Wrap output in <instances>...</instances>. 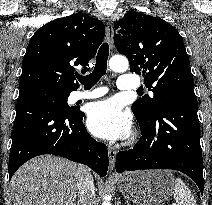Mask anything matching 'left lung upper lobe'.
Masks as SVG:
<instances>
[{
	"label": "left lung upper lobe",
	"instance_id": "5c2ea615",
	"mask_svg": "<svg viewBox=\"0 0 212 205\" xmlns=\"http://www.w3.org/2000/svg\"><path fill=\"white\" fill-rule=\"evenodd\" d=\"M114 43L129 59L130 71L143 72L145 86L154 93L133 103V113L139 120H150L175 98L196 97L182 37L169 23L128 12L115 27Z\"/></svg>",
	"mask_w": 212,
	"mask_h": 205
}]
</instances>
